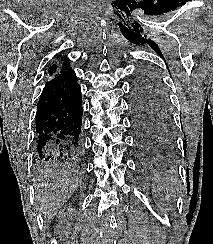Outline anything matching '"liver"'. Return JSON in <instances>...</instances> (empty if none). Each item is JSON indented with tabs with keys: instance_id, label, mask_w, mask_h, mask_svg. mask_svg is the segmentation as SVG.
<instances>
[{
	"instance_id": "1",
	"label": "liver",
	"mask_w": 213,
	"mask_h": 244,
	"mask_svg": "<svg viewBox=\"0 0 213 244\" xmlns=\"http://www.w3.org/2000/svg\"><path fill=\"white\" fill-rule=\"evenodd\" d=\"M78 177L70 169L48 168L36 180V204L45 220H50L74 193Z\"/></svg>"
}]
</instances>
